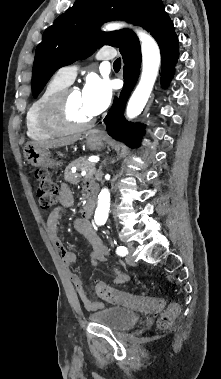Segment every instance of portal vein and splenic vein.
I'll return each instance as SVG.
<instances>
[{
  "label": "portal vein and splenic vein",
  "mask_w": 221,
  "mask_h": 379,
  "mask_svg": "<svg viewBox=\"0 0 221 379\" xmlns=\"http://www.w3.org/2000/svg\"><path fill=\"white\" fill-rule=\"evenodd\" d=\"M98 160H91V163H96ZM95 172V167L89 172V174H93ZM81 175H86V171H82Z\"/></svg>",
  "instance_id": "18ae733b"
}]
</instances>
